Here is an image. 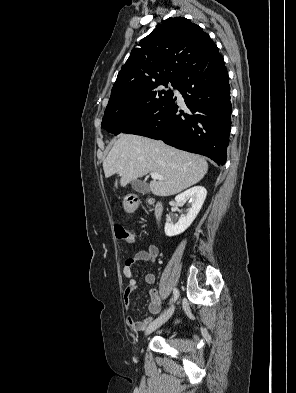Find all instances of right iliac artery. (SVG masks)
Segmentation results:
<instances>
[{
  "instance_id": "82829eb1",
  "label": "right iliac artery",
  "mask_w": 296,
  "mask_h": 393,
  "mask_svg": "<svg viewBox=\"0 0 296 393\" xmlns=\"http://www.w3.org/2000/svg\"><path fill=\"white\" fill-rule=\"evenodd\" d=\"M173 295H174V299L173 300L176 301L178 299V297H179L178 289H176V288L173 289Z\"/></svg>"
}]
</instances>
